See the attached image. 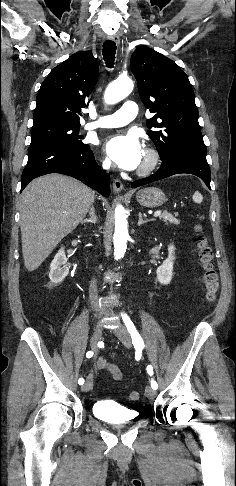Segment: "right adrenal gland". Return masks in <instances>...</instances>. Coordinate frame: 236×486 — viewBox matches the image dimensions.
Returning a JSON list of instances; mask_svg holds the SVG:
<instances>
[{"label":"right adrenal gland","mask_w":236,"mask_h":486,"mask_svg":"<svg viewBox=\"0 0 236 486\" xmlns=\"http://www.w3.org/2000/svg\"><path fill=\"white\" fill-rule=\"evenodd\" d=\"M85 223H91V224H94V225L97 223V216H96L95 209H94L93 206L91 207V209L89 211V218L81 221V224H85Z\"/></svg>","instance_id":"obj_1"}]
</instances>
